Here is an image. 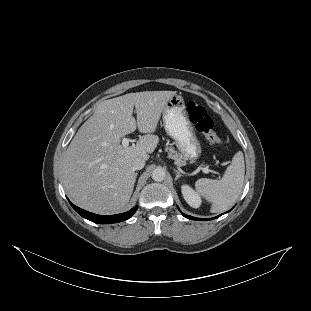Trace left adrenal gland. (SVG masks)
Returning <instances> with one entry per match:
<instances>
[{
  "label": "left adrenal gland",
  "mask_w": 311,
  "mask_h": 311,
  "mask_svg": "<svg viewBox=\"0 0 311 311\" xmlns=\"http://www.w3.org/2000/svg\"><path fill=\"white\" fill-rule=\"evenodd\" d=\"M176 172V178L175 181H177L180 177H182V175L179 173V171L175 170Z\"/></svg>",
  "instance_id": "a2214340"
}]
</instances>
